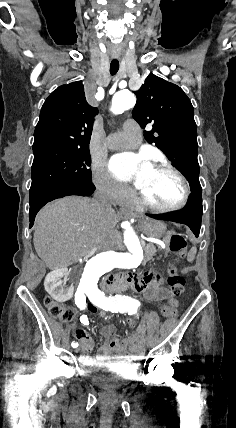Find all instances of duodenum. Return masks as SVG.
I'll list each match as a JSON object with an SVG mask.
<instances>
[{
  "instance_id": "duodenum-1",
  "label": "duodenum",
  "mask_w": 236,
  "mask_h": 428,
  "mask_svg": "<svg viewBox=\"0 0 236 428\" xmlns=\"http://www.w3.org/2000/svg\"><path fill=\"white\" fill-rule=\"evenodd\" d=\"M139 278L130 272L108 276L102 282V292L107 297L122 296L127 289L135 286Z\"/></svg>"
}]
</instances>
